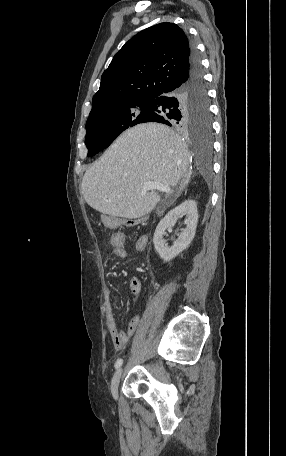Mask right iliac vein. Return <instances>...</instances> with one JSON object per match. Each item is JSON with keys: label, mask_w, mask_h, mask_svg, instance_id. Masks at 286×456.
<instances>
[{"label": "right iliac vein", "mask_w": 286, "mask_h": 456, "mask_svg": "<svg viewBox=\"0 0 286 456\" xmlns=\"http://www.w3.org/2000/svg\"><path fill=\"white\" fill-rule=\"evenodd\" d=\"M123 373V369L119 368L116 373L114 374L111 382V393L114 398H117L118 396V387L120 383V379Z\"/></svg>", "instance_id": "obj_1"}]
</instances>
